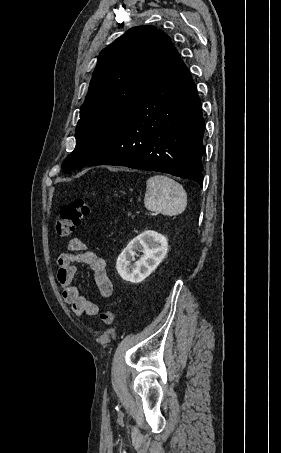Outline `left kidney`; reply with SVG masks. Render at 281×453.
<instances>
[{
    "instance_id": "left-kidney-1",
    "label": "left kidney",
    "mask_w": 281,
    "mask_h": 453,
    "mask_svg": "<svg viewBox=\"0 0 281 453\" xmlns=\"http://www.w3.org/2000/svg\"><path fill=\"white\" fill-rule=\"evenodd\" d=\"M137 251L143 253L139 261L134 259ZM167 251V237L156 233V231H144L133 241H130L126 249H123L120 253L116 261V269L124 281L142 283L146 277L151 275L152 271L157 269L159 263L166 257Z\"/></svg>"
}]
</instances>
